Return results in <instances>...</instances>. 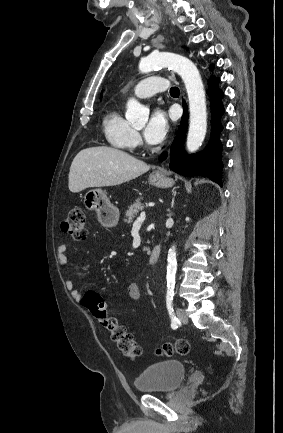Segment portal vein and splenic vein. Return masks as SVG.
Returning <instances> with one entry per match:
<instances>
[{
	"label": "portal vein and splenic vein",
	"instance_id": "obj_1",
	"mask_svg": "<svg viewBox=\"0 0 283 433\" xmlns=\"http://www.w3.org/2000/svg\"><path fill=\"white\" fill-rule=\"evenodd\" d=\"M145 217H146V214H145L144 210H142L140 217H138V219H136L135 223H144Z\"/></svg>",
	"mask_w": 283,
	"mask_h": 433
}]
</instances>
